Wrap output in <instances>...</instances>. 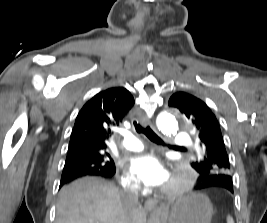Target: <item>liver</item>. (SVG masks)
Here are the masks:
<instances>
[{
	"mask_svg": "<svg viewBox=\"0 0 267 223\" xmlns=\"http://www.w3.org/2000/svg\"><path fill=\"white\" fill-rule=\"evenodd\" d=\"M144 223L140 206L127 212L122 193L101 178L85 177L61 189L55 223Z\"/></svg>",
	"mask_w": 267,
	"mask_h": 223,
	"instance_id": "liver-1",
	"label": "liver"
}]
</instances>
